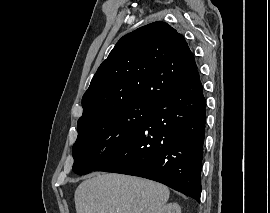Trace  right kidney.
<instances>
[{
	"instance_id": "obj_1",
	"label": "right kidney",
	"mask_w": 270,
	"mask_h": 213,
	"mask_svg": "<svg viewBox=\"0 0 270 213\" xmlns=\"http://www.w3.org/2000/svg\"><path fill=\"white\" fill-rule=\"evenodd\" d=\"M157 213H181V208L177 203H169L160 208Z\"/></svg>"
}]
</instances>
